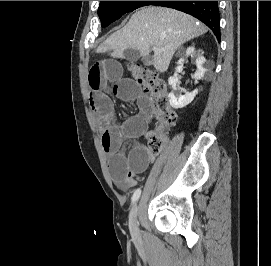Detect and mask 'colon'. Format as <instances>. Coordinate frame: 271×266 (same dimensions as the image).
I'll return each mask as SVG.
<instances>
[{
  "label": "colon",
  "instance_id": "1",
  "mask_svg": "<svg viewBox=\"0 0 271 266\" xmlns=\"http://www.w3.org/2000/svg\"><path fill=\"white\" fill-rule=\"evenodd\" d=\"M128 70L136 83L151 95V106L159 121V127L149 136L148 144L153 153H158L166 142L163 128L176 122V114L169 103L166 82L156 71L137 63L128 64Z\"/></svg>",
  "mask_w": 271,
  "mask_h": 266
}]
</instances>
